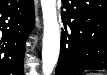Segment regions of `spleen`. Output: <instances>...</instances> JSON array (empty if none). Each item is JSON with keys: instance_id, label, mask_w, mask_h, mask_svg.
I'll list each match as a JSON object with an SVG mask.
<instances>
[{"instance_id": "3e777b00", "label": "spleen", "mask_w": 107, "mask_h": 75, "mask_svg": "<svg viewBox=\"0 0 107 75\" xmlns=\"http://www.w3.org/2000/svg\"><path fill=\"white\" fill-rule=\"evenodd\" d=\"M87 75H99L97 73H88Z\"/></svg>"}]
</instances>
